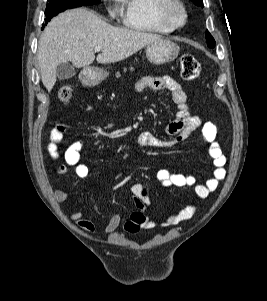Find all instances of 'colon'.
<instances>
[{
    "label": "colon",
    "instance_id": "obj_1",
    "mask_svg": "<svg viewBox=\"0 0 267 301\" xmlns=\"http://www.w3.org/2000/svg\"><path fill=\"white\" fill-rule=\"evenodd\" d=\"M180 73L185 80H194L200 74V64L192 55L186 54L181 57ZM73 91L70 85H63L58 91V99L63 102H69L72 99ZM143 195H146L143 189Z\"/></svg>",
    "mask_w": 267,
    "mask_h": 301
}]
</instances>
